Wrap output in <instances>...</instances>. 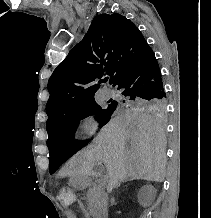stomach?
I'll list each match as a JSON object with an SVG mask.
<instances>
[{"instance_id":"stomach-1","label":"stomach","mask_w":211,"mask_h":218,"mask_svg":"<svg viewBox=\"0 0 211 218\" xmlns=\"http://www.w3.org/2000/svg\"><path fill=\"white\" fill-rule=\"evenodd\" d=\"M70 182L76 188H84L87 185V176L82 174H73L70 176Z\"/></svg>"}]
</instances>
